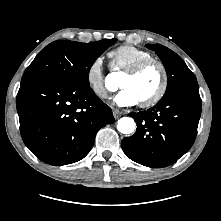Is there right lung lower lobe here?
Returning <instances> with one entry per match:
<instances>
[{
  "label": "right lung lower lobe",
  "instance_id": "obj_1",
  "mask_svg": "<svg viewBox=\"0 0 221 221\" xmlns=\"http://www.w3.org/2000/svg\"><path fill=\"white\" fill-rule=\"evenodd\" d=\"M16 106L25 145L56 166L83 159L97 131L114 122L89 85L49 75L23 76Z\"/></svg>",
  "mask_w": 221,
  "mask_h": 221
}]
</instances>
